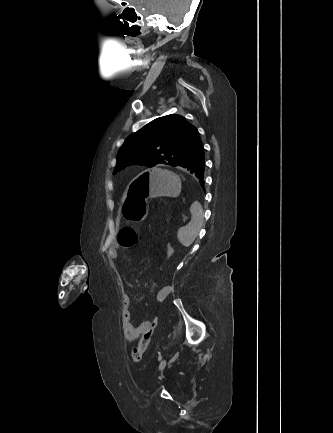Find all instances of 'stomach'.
<instances>
[{"label": "stomach", "mask_w": 333, "mask_h": 433, "mask_svg": "<svg viewBox=\"0 0 333 433\" xmlns=\"http://www.w3.org/2000/svg\"><path fill=\"white\" fill-rule=\"evenodd\" d=\"M158 196L181 199V181L173 169H143L142 174H137V185L127 192L123 218L139 225L147 216L148 199Z\"/></svg>", "instance_id": "obj_1"}]
</instances>
